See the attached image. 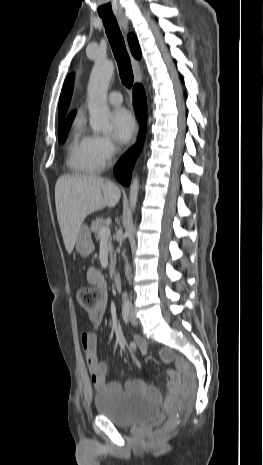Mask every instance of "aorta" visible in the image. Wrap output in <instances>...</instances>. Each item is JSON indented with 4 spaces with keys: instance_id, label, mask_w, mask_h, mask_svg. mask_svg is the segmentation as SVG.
Wrapping results in <instances>:
<instances>
[{
    "instance_id": "obj_1",
    "label": "aorta",
    "mask_w": 263,
    "mask_h": 465,
    "mask_svg": "<svg viewBox=\"0 0 263 465\" xmlns=\"http://www.w3.org/2000/svg\"><path fill=\"white\" fill-rule=\"evenodd\" d=\"M114 72V63L110 60L97 61L92 69L88 83V108L90 126L94 132L110 131V111L107 105V91ZM139 191V179L135 177L130 185V208L135 211Z\"/></svg>"
}]
</instances>
